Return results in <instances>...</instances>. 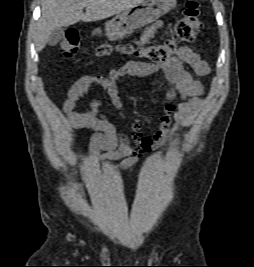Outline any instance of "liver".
<instances>
[{"mask_svg":"<svg viewBox=\"0 0 254 267\" xmlns=\"http://www.w3.org/2000/svg\"><path fill=\"white\" fill-rule=\"evenodd\" d=\"M144 0H42L41 17L35 33V46L42 51L53 30L80 20L93 22L123 13ZM86 7V13L83 8Z\"/></svg>","mask_w":254,"mask_h":267,"instance_id":"1","label":"liver"}]
</instances>
